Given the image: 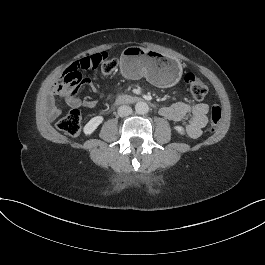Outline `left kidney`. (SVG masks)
<instances>
[{"label":"left kidney","mask_w":265,"mask_h":265,"mask_svg":"<svg viewBox=\"0 0 265 265\" xmlns=\"http://www.w3.org/2000/svg\"><path fill=\"white\" fill-rule=\"evenodd\" d=\"M174 128H175V130H176L178 133H180V134H184V128H183V127H181V126H175Z\"/></svg>","instance_id":"5707ae66"}]
</instances>
